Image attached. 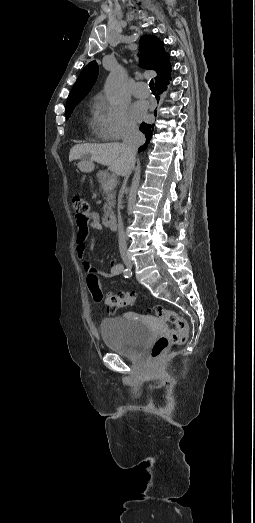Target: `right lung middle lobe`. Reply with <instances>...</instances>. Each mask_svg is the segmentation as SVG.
I'll use <instances>...</instances> for the list:
<instances>
[{"instance_id": "dd1d6c3e", "label": "right lung middle lobe", "mask_w": 255, "mask_h": 523, "mask_svg": "<svg viewBox=\"0 0 255 523\" xmlns=\"http://www.w3.org/2000/svg\"><path fill=\"white\" fill-rule=\"evenodd\" d=\"M79 102H67L66 104V112H65V115H66V118H69L74 107L78 104Z\"/></svg>"}]
</instances>
